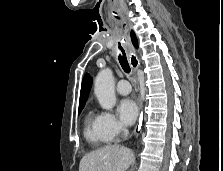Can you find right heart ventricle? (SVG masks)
Listing matches in <instances>:
<instances>
[{
  "label": "right heart ventricle",
  "instance_id": "obj_1",
  "mask_svg": "<svg viewBox=\"0 0 223 171\" xmlns=\"http://www.w3.org/2000/svg\"><path fill=\"white\" fill-rule=\"evenodd\" d=\"M84 124V136L90 144L102 146L109 141L101 129L99 115L89 111L85 116Z\"/></svg>",
  "mask_w": 223,
  "mask_h": 171
}]
</instances>
